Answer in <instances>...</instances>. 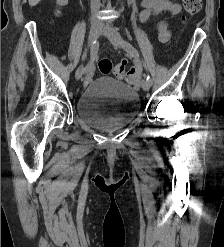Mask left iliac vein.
I'll return each instance as SVG.
<instances>
[{
  "label": "left iliac vein",
  "instance_id": "obj_1",
  "mask_svg": "<svg viewBox=\"0 0 224 247\" xmlns=\"http://www.w3.org/2000/svg\"><path fill=\"white\" fill-rule=\"evenodd\" d=\"M102 32L111 41V43L119 48H124L122 36L108 25L102 27ZM141 87L144 91H149L151 85L146 79L141 80Z\"/></svg>",
  "mask_w": 224,
  "mask_h": 247
}]
</instances>
